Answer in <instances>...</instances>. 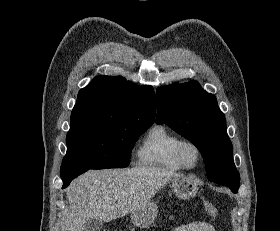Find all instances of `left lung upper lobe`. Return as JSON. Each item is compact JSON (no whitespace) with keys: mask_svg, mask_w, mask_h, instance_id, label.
<instances>
[{"mask_svg":"<svg viewBox=\"0 0 280 231\" xmlns=\"http://www.w3.org/2000/svg\"><path fill=\"white\" fill-rule=\"evenodd\" d=\"M156 98V123H165L199 149L208 180L214 182L237 172L226 119L213 94L190 81L159 88Z\"/></svg>","mask_w":280,"mask_h":231,"instance_id":"left-lung-upper-lobe-1","label":"left lung upper lobe"}]
</instances>
